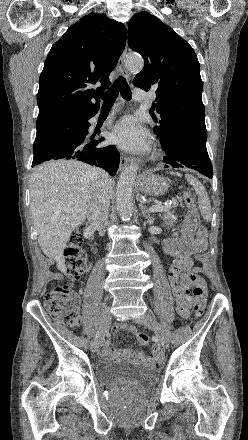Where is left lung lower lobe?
<instances>
[{
  "label": "left lung lower lobe",
  "mask_w": 248,
  "mask_h": 440,
  "mask_svg": "<svg viewBox=\"0 0 248 440\" xmlns=\"http://www.w3.org/2000/svg\"><path fill=\"white\" fill-rule=\"evenodd\" d=\"M167 153L165 167H188L212 178L213 170L205 143H195L183 138H170L161 142Z\"/></svg>",
  "instance_id": "obj_1"
}]
</instances>
